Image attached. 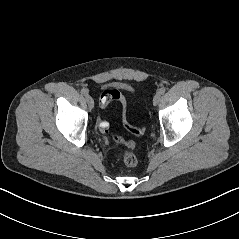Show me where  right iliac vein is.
I'll return each instance as SVG.
<instances>
[{"mask_svg": "<svg viewBox=\"0 0 239 239\" xmlns=\"http://www.w3.org/2000/svg\"><path fill=\"white\" fill-rule=\"evenodd\" d=\"M86 102H87L89 108L92 109L94 107V100L90 95L86 96Z\"/></svg>", "mask_w": 239, "mask_h": 239, "instance_id": "obj_1", "label": "right iliac vein"}]
</instances>
